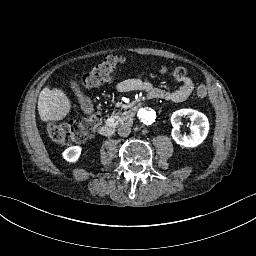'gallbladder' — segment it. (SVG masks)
<instances>
[{"label": "gallbladder", "instance_id": "obj_1", "mask_svg": "<svg viewBox=\"0 0 256 256\" xmlns=\"http://www.w3.org/2000/svg\"><path fill=\"white\" fill-rule=\"evenodd\" d=\"M68 85L71 91L74 93L77 102L85 115H91L94 113L93 101L83 92L80 83L73 77L68 80Z\"/></svg>", "mask_w": 256, "mask_h": 256}]
</instances>
